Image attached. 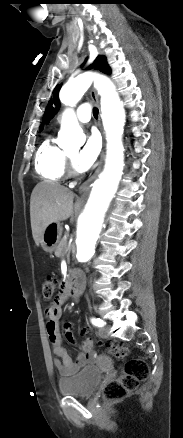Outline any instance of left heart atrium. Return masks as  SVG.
Returning <instances> with one entry per match:
<instances>
[{
  "instance_id": "1",
  "label": "left heart atrium",
  "mask_w": 183,
  "mask_h": 438,
  "mask_svg": "<svg viewBox=\"0 0 183 438\" xmlns=\"http://www.w3.org/2000/svg\"><path fill=\"white\" fill-rule=\"evenodd\" d=\"M101 150V141L97 134L92 133L87 137L84 147L75 158V166L84 171L90 168L96 161Z\"/></svg>"
}]
</instances>
